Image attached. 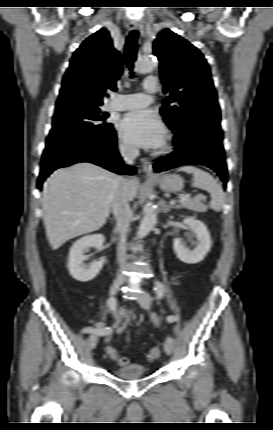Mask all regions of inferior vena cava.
I'll list each match as a JSON object with an SVG mask.
<instances>
[{"label": "inferior vena cava", "instance_id": "602c4592", "mask_svg": "<svg viewBox=\"0 0 273 430\" xmlns=\"http://www.w3.org/2000/svg\"><path fill=\"white\" fill-rule=\"evenodd\" d=\"M120 153L128 165H133L135 158L139 155V150L134 147H120ZM126 178L123 176H116L112 184V192L110 195V203L113 213L116 218V230L119 233L118 243V263L121 270L127 265L126 256V235L129 229L130 221L132 219V211L124 190ZM121 276V275H120Z\"/></svg>", "mask_w": 273, "mask_h": 430}]
</instances>
